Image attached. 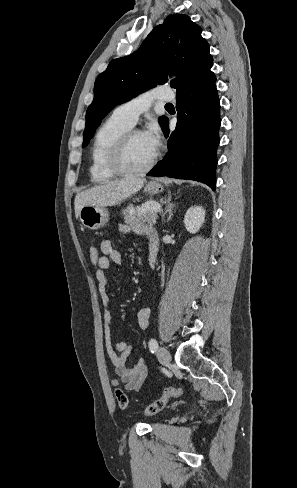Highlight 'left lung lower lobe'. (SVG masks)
Here are the masks:
<instances>
[{"instance_id": "left-lung-lower-lobe-1", "label": "left lung lower lobe", "mask_w": 297, "mask_h": 488, "mask_svg": "<svg viewBox=\"0 0 297 488\" xmlns=\"http://www.w3.org/2000/svg\"><path fill=\"white\" fill-rule=\"evenodd\" d=\"M213 72L177 94L176 129L169 134L168 119L163 130L168 137L167 155L147 174L200 181L216 186V150L219 144L220 101Z\"/></svg>"}]
</instances>
